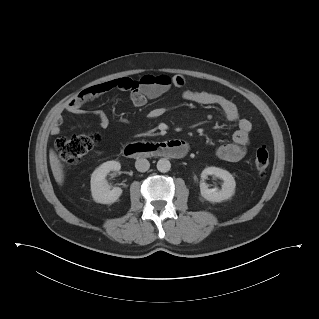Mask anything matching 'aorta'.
<instances>
[{
  "label": "aorta",
  "instance_id": "obj_1",
  "mask_svg": "<svg viewBox=\"0 0 319 319\" xmlns=\"http://www.w3.org/2000/svg\"><path fill=\"white\" fill-rule=\"evenodd\" d=\"M171 168V163L169 160L162 158L157 162L158 171L165 173L168 172Z\"/></svg>",
  "mask_w": 319,
  "mask_h": 319
}]
</instances>
